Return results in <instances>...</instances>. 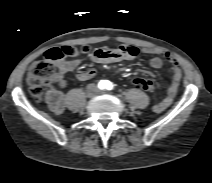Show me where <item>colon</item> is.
<instances>
[{
  "label": "colon",
  "mask_w": 212,
  "mask_h": 183,
  "mask_svg": "<svg viewBox=\"0 0 212 183\" xmlns=\"http://www.w3.org/2000/svg\"><path fill=\"white\" fill-rule=\"evenodd\" d=\"M90 51L89 46H62L49 49L44 59L34 62L27 74V83L31 95L40 100L43 95L44 88L54 81L57 65L65 60V58H75L79 55L86 54ZM131 84L137 89L151 92L154 88L153 83L146 78H135Z\"/></svg>",
  "instance_id": "5ec220e1"
}]
</instances>
